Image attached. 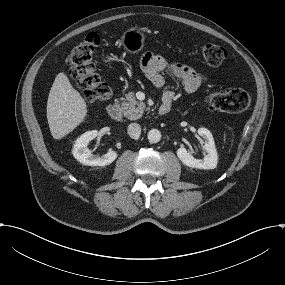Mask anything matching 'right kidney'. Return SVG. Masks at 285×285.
I'll list each match as a JSON object with an SVG mask.
<instances>
[{
  "label": "right kidney",
  "mask_w": 285,
  "mask_h": 285,
  "mask_svg": "<svg viewBox=\"0 0 285 285\" xmlns=\"http://www.w3.org/2000/svg\"><path fill=\"white\" fill-rule=\"evenodd\" d=\"M97 135V130L87 131L82 134L74 143L72 150L73 156L84 165L105 166L112 163L117 158V153L112 150L108 151L101 157H96L91 153V151L87 148V145L91 140L96 138Z\"/></svg>",
  "instance_id": "1"
}]
</instances>
